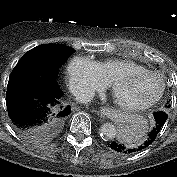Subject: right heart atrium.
Segmentation results:
<instances>
[{"instance_id": "obj_1", "label": "right heart atrium", "mask_w": 177, "mask_h": 177, "mask_svg": "<svg viewBox=\"0 0 177 177\" xmlns=\"http://www.w3.org/2000/svg\"><path fill=\"white\" fill-rule=\"evenodd\" d=\"M67 73L70 89L78 96H91L107 86L96 64L86 57H74Z\"/></svg>"}]
</instances>
